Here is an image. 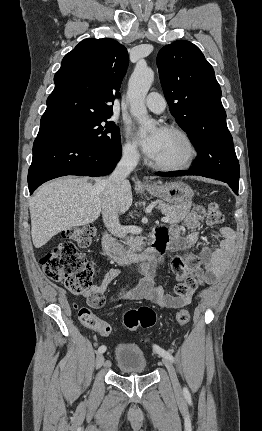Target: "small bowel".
<instances>
[{
	"label": "small bowel",
	"mask_w": 262,
	"mask_h": 431,
	"mask_svg": "<svg viewBox=\"0 0 262 431\" xmlns=\"http://www.w3.org/2000/svg\"><path fill=\"white\" fill-rule=\"evenodd\" d=\"M204 216V211L196 208L185 217L182 223L191 231L186 236L181 235L179 224L159 226L155 230L156 237H159L161 240L159 248L162 249L167 246L169 250L175 253L170 263L177 282L193 276L198 280L199 285H211L224 274L229 265L234 245V232L230 227L226 226L217 228V232L222 237L218 249L212 250L203 246L200 248L198 255L181 254V252L189 251L196 246L200 237V224ZM165 261L164 256L158 254L142 264L140 271L144 277L141 283L130 291L124 292L123 290H119L115 292L111 296V301L120 302L122 300L146 299L160 308H180L189 303L194 292L187 297L173 296L167 293L160 283L156 282L157 269L164 265ZM119 273L118 268H111L100 284L93 285L87 290L85 297L89 307H100L104 303L105 291Z\"/></svg>",
	"instance_id": "1"
}]
</instances>
